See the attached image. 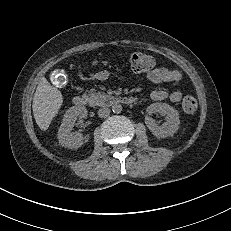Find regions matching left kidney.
Segmentation results:
<instances>
[{
  "mask_svg": "<svg viewBox=\"0 0 231 231\" xmlns=\"http://www.w3.org/2000/svg\"><path fill=\"white\" fill-rule=\"evenodd\" d=\"M155 112L165 115L166 122H164L162 126H158L150 116L145 117V123L154 136L157 138H165L177 132L180 120L179 113L175 108L167 103H153L147 107L148 114Z\"/></svg>",
  "mask_w": 231,
  "mask_h": 231,
  "instance_id": "left-kidney-1",
  "label": "left kidney"
}]
</instances>
